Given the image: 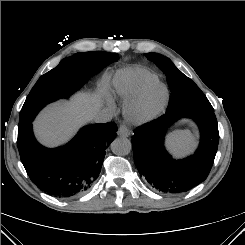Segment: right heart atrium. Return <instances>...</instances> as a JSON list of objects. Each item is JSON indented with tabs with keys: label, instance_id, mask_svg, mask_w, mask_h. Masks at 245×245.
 Masks as SVG:
<instances>
[{
	"label": "right heart atrium",
	"instance_id": "d8ad5b80",
	"mask_svg": "<svg viewBox=\"0 0 245 245\" xmlns=\"http://www.w3.org/2000/svg\"><path fill=\"white\" fill-rule=\"evenodd\" d=\"M109 108L112 109L113 108V105L111 103H109Z\"/></svg>",
	"mask_w": 245,
	"mask_h": 245
}]
</instances>
